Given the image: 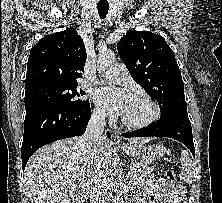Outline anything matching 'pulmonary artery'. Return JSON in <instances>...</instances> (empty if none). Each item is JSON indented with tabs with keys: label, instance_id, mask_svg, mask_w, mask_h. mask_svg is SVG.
<instances>
[{
	"label": "pulmonary artery",
	"instance_id": "e3ab8cb5",
	"mask_svg": "<svg viewBox=\"0 0 222 203\" xmlns=\"http://www.w3.org/2000/svg\"><path fill=\"white\" fill-rule=\"evenodd\" d=\"M102 79L114 84L125 83L128 80L127 68L124 64H114L103 74Z\"/></svg>",
	"mask_w": 222,
	"mask_h": 203
}]
</instances>
